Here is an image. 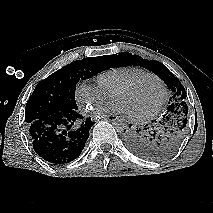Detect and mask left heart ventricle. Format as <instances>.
<instances>
[{"mask_svg":"<svg viewBox=\"0 0 213 213\" xmlns=\"http://www.w3.org/2000/svg\"><path fill=\"white\" fill-rule=\"evenodd\" d=\"M161 86L156 79L146 78L128 91L116 96L129 115H143L152 110L161 98Z\"/></svg>","mask_w":213,"mask_h":213,"instance_id":"obj_1","label":"left heart ventricle"}]
</instances>
